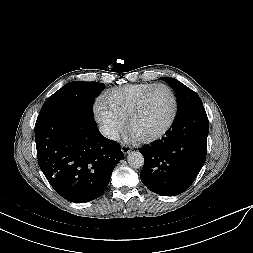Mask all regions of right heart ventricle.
Segmentation results:
<instances>
[{"instance_id": "1", "label": "right heart ventricle", "mask_w": 253, "mask_h": 253, "mask_svg": "<svg viewBox=\"0 0 253 253\" xmlns=\"http://www.w3.org/2000/svg\"><path fill=\"white\" fill-rule=\"evenodd\" d=\"M151 85L140 83L116 87L103 98V102L120 121L125 123L140 95Z\"/></svg>"}]
</instances>
